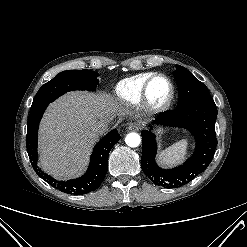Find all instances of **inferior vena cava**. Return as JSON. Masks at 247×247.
Returning a JSON list of instances; mask_svg holds the SVG:
<instances>
[{
    "label": "inferior vena cava",
    "mask_w": 247,
    "mask_h": 247,
    "mask_svg": "<svg viewBox=\"0 0 247 247\" xmlns=\"http://www.w3.org/2000/svg\"><path fill=\"white\" fill-rule=\"evenodd\" d=\"M109 123H110L109 119H101L93 125L92 130L97 135H103L109 129Z\"/></svg>",
    "instance_id": "602c4592"
}]
</instances>
